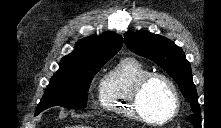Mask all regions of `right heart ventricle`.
I'll use <instances>...</instances> for the list:
<instances>
[{"label": "right heart ventricle", "instance_id": "right-heart-ventricle-1", "mask_svg": "<svg viewBox=\"0 0 221 128\" xmlns=\"http://www.w3.org/2000/svg\"><path fill=\"white\" fill-rule=\"evenodd\" d=\"M151 70L138 58L120 59L103 76L99 95L104 110L119 117L137 118L131 108L130 96L136 82Z\"/></svg>", "mask_w": 221, "mask_h": 128}]
</instances>
